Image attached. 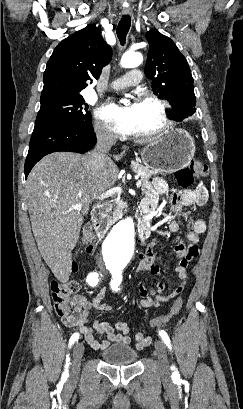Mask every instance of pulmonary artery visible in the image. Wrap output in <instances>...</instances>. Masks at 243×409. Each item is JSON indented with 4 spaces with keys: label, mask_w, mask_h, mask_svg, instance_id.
Masks as SVG:
<instances>
[{
    "label": "pulmonary artery",
    "mask_w": 243,
    "mask_h": 409,
    "mask_svg": "<svg viewBox=\"0 0 243 409\" xmlns=\"http://www.w3.org/2000/svg\"><path fill=\"white\" fill-rule=\"evenodd\" d=\"M141 72L139 70H131L125 75L114 81L111 88L121 90L126 87L134 86L140 82Z\"/></svg>",
    "instance_id": "1"
}]
</instances>
